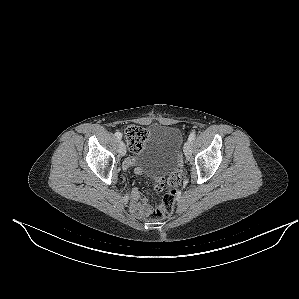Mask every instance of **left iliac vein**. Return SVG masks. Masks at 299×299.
I'll list each match as a JSON object with an SVG mask.
<instances>
[{
    "label": "left iliac vein",
    "mask_w": 299,
    "mask_h": 299,
    "mask_svg": "<svg viewBox=\"0 0 299 299\" xmlns=\"http://www.w3.org/2000/svg\"><path fill=\"white\" fill-rule=\"evenodd\" d=\"M191 151H192V148H191V141H186V143L184 144V154L187 158L190 157L191 155Z\"/></svg>",
    "instance_id": "4c4485c4"
}]
</instances>
